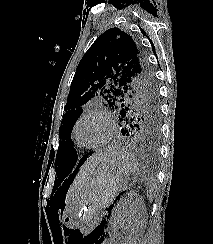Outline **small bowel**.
<instances>
[{"label":"small bowel","instance_id":"obj_1","mask_svg":"<svg viewBox=\"0 0 213 244\" xmlns=\"http://www.w3.org/2000/svg\"><path fill=\"white\" fill-rule=\"evenodd\" d=\"M99 244H104L103 240H100V241H99Z\"/></svg>","mask_w":213,"mask_h":244}]
</instances>
